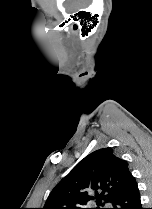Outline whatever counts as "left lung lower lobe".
I'll list each match as a JSON object with an SVG mask.
<instances>
[{
	"label": "left lung lower lobe",
	"instance_id": "1",
	"mask_svg": "<svg viewBox=\"0 0 152 209\" xmlns=\"http://www.w3.org/2000/svg\"><path fill=\"white\" fill-rule=\"evenodd\" d=\"M111 203L112 209H142L138 185L132 175L120 194Z\"/></svg>",
	"mask_w": 152,
	"mask_h": 209
}]
</instances>
